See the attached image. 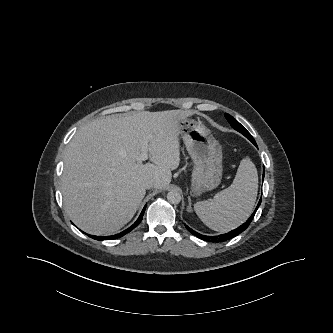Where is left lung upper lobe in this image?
I'll list each match as a JSON object with an SVG mask.
<instances>
[{"mask_svg":"<svg viewBox=\"0 0 333 333\" xmlns=\"http://www.w3.org/2000/svg\"><path fill=\"white\" fill-rule=\"evenodd\" d=\"M225 117L228 120V122L230 123V125L237 131H239L240 133H242L245 137H247L252 143L255 142L254 138L252 137V135L235 119L233 118L231 115L225 113Z\"/></svg>","mask_w":333,"mask_h":333,"instance_id":"1","label":"left lung upper lobe"}]
</instances>
